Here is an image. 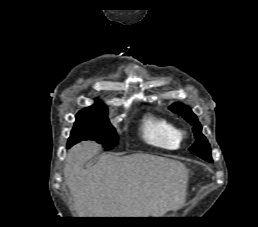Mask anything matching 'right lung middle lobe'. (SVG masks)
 <instances>
[{"label": "right lung middle lobe", "mask_w": 258, "mask_h": 227, "mask_svg": "<svg viewBox=\"0 0 258 227\" xmlns=\"http://www.w3.org/2000/svg\"><path fill=\"white\" fill-rule=\"evenodd\" d=\"M82 140H95L110 150L118 143V136L110 124L106 110L84 109L76 115V122L68 139V146Z\"/></svg>", "instance_id": "1"}]
</instances>
